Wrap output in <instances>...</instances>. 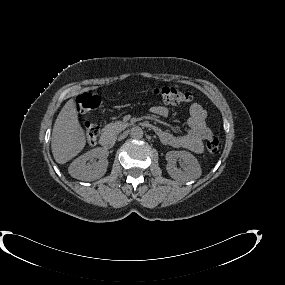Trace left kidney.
Instances as JSON below:
<instances>
[{
    "instance_id": "obj_1",
    "label": "left kidney",
    "mask_w": 285,
    "mask_h": 285,
    "mask_svg": "<svg viewBox=\"0 0 285 285\" xmlns=\"http://www.w3.org/2000/svg\"><path fill=\"white\" fill-rule=\"evenodd\" d=\"M168 162L166 169L169 175L174 179H180L184 181L197 179L201 176L202 170L198 160L187 151H170L168 152ZM183 160L186 164L185 171L178 169L175 166V159Z\"/></svg>"
}]
</instances>
